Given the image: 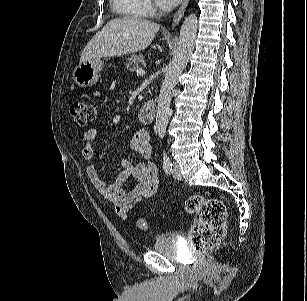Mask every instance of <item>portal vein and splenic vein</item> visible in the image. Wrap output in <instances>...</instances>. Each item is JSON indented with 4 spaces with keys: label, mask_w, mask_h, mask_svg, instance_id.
<instances>
[{
    "label": "portal vein and splenic vein",
    "mask_w": 307,
    "mask_h": 301,
    "mask_svg": "<svg viewBox=\"0 0 307 301\" xmlns=\"http://www.w3.org/2000/svg\"><path fill=\"white\" fill-rule=\"evenodd\" d=\"M137 76H143L145 74V71L142 68L136 69Z\"/></svg>",
    "instance_id": "18ae733b"
}]
</instances>
